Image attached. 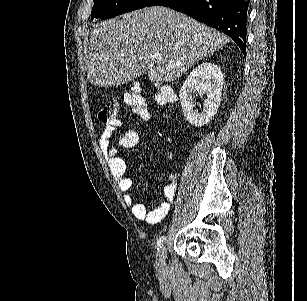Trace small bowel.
I'll return each mask as SVG.
<instances>
[{
	"mask_svg": "<svg viewBox=\"0 0 307 301\" xmlns=\"http://www.w3.org/2000/svg\"><path fill=\"white\" fill-rule=\"evenodd\" d=\"M121 126L119 120L105 124L104 129L99 138V146L102 149L110 172L116 180L120 191L127 206L130 207L133 216L139 220L146 221L149 224L159 223L168 213L176 192V177L173 174L165 176L168 181L163 188V198L157 208H150L143 203L135 201L130 193L132 188V180L127 176V168L125 161L117 156V147L111 144L113 133ZM140 127H131L119 137L117 144L122 148H132L139 142Z\"/></svg>",
	"mask_w": 307,
	"mask_h": 301,
	"instance_id": "obj_1",
	"label": "small bowel"
}]
</instances>
